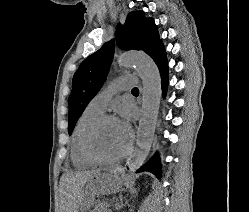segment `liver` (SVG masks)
I'll use <instances>...</instances> for the list:
<instances>
[{
    "mask_svg": "<svg viewBox=\"0 0 249 212\" xmlns=\"http://www.w3.org/2000/svg\"><path fill=\"white\" fill-rule=\"evenodd\" d=\"M91 178H96L93 186L95 196H108L121 192L126 174L123 168L117 170H105L100 174V170L94 172H68L65 176L67 182V212H79L84 198V188Z\"/></svg>",
    "mask_w": 249,
    "mask_h": 212,
    "instance_id": "1",
    "label": "liver"
}]
</instances>
